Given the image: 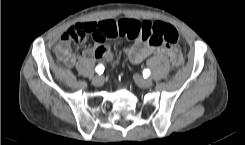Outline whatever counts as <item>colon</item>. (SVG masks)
Wrapping results in <instances>:
<instances>
[{
	"label": "colon",
	"instance_id": "1",
	"mask_svg": "<svg viewBox=\"0 0 245 145\" xmlns=\"http://www.w3.org/2000/svg\"><path fill=\"white\" fill-rule=\"evenodd\" d=\"M93 34V27L85 23H76L70 26L63 36V40H82L88 35ZM118 35L122 36L125 40L131 41L141 36L149 43L156 46H176L181 43V37L178 30L169 24L163 22H146L140 24L139 22H121L117 30L109 32V38H115ZM68 56L66 49H62L59 58L64 59ZM181 57L178 52L175 53L173 58V66L178 67L181 65Z\"/></svg>",
	"mask_w": 245,
	"mask_h": 145
}]
</instances>
